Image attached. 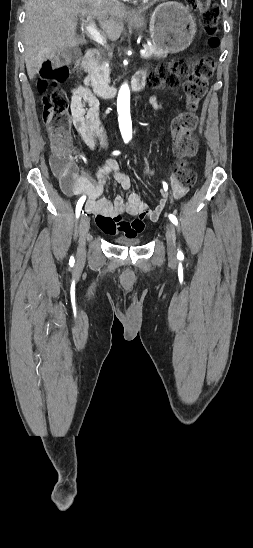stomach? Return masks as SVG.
Masks as SVG:
<instances>
[{"label": "stomach", "instance_id": "obj_1", "mask_svg": "<svg viewBox=\"0 0 253 548\" xmlns=\"http://www.w3.org/2000/svg\"><path fill=\"white\" fill-rule=\"evenodd\" d=\"M133 26L142 30L143 17L132 20ZM196 32V23L188 8L179 2H165L156 7L150 17L149 33L152 43L170 53L189 47Z\"/></svg>", "mask_w": 253, "mask_h": 548}]
</instances>
